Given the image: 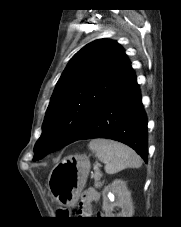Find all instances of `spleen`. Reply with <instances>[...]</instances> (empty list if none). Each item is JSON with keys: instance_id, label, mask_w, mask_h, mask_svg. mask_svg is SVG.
<instances>
[{"instance_id": "spleen-1", "label": "spleen", "mask_w": 181, "mask_h": 227, "mask_svg": "<svg viewBox=\"0 0 181 227\" xmlns=\"http://www.w3.org/2000/svg\"><path fill=\"white\" fill-rule=\"evenodd\" d=\"M88 147L101 162L105 163V171L108 174H116L126 168H139L142 165L140 156L119 142L93 139Z\"/></svg>"}]
</instances>
